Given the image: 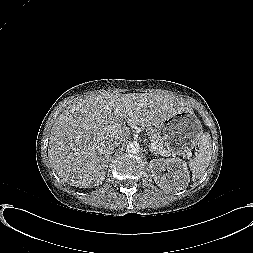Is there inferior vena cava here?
I'll use <instances>...</instances> for the list:
<instances>
[{
  "label": "inferior vena cava",
  "mask_w": 253,
  "mask_h": 253,
  "mask_svg": "<svg viewBox=\"0 0 253 253\" xmlns=\"http://www.w3.org/2000/svg\"><path fill=\"white\" fill-rule=\"evenodd\" d=\"M120 142H121V141L117 139V140H115V141L112 142L111 146H112V147L118 146V144H119Z\"/></svg>",
  "instance_id": "602c4592"
}]
</instances>
